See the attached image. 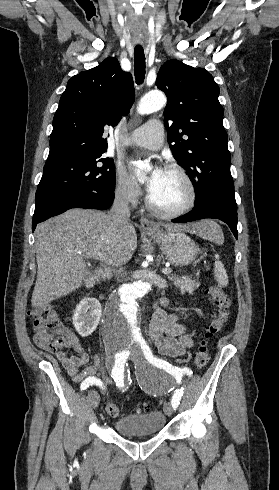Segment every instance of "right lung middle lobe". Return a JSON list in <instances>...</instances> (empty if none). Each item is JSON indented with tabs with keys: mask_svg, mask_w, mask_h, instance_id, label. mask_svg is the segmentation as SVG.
I'll list each match as a JSON object with an SVG mask.
<instances>
[{
	"mask_svg": "<svg viewBox=\"0 0 279 490\" xmlns=\"http://www.w3.org/2000/svg\"><path fill=\"white\" fill-rule=\"evenodd\" d=\"M104 152L105 149L83 157L46 162L35 199L58 191L114 192V162L101 157Z\"/></svg>",
	"mask_w": 279,
	"mask_h": 490,
	"instance_id": "obj_1",
	"label": "right lung middle lobe"
}]
</instances>
